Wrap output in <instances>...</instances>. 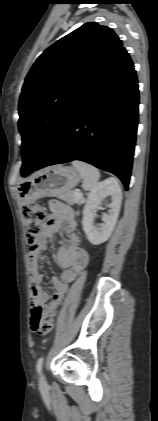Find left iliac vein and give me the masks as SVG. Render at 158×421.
<instances>
[{
  "mask_svg": "<svg viewBox=\"0 0 158 421\" xmlns=\"http://www.w3.org/2000/svg\"><path fill=\"white\" fill-rule=\"evenodd\" d=\"M39 384H40V386H42V387H44L45 385H46V379H45V376H44V374L42 373L41 375H40V377H39Z\"/></svg>",
  "mask_w": 158,
  "mask_h": 421,
  "instance_id": "4c4485c4",
  "label": "left iliac vein"
}]
</instances>
